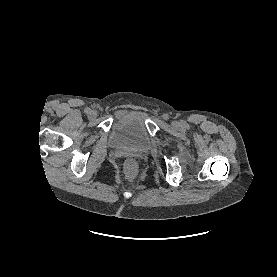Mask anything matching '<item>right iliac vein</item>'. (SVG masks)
<instances>
[{
	"label": "right iliac vein",
	"mask_w": 277,
	"mask_h": 277,
	"mask_svg": "<svg viewBox=\"0 0 277 277\" xmlns=\"http://www.w3.org/2000/svg\"><path fill=\"white\" fill-rule=\"evenodd\" d=\"M89 117H90L91 119L96 118V117H97V111L92 110V111L90 112V114H89Z\"/></svg>",
	"instance_id": "right-iliac-vein-1"
}]
</instances>
